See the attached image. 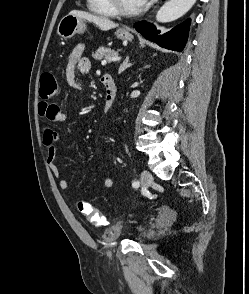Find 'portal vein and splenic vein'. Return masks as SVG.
I'll return each mask as SVG.
<instances>
[{"mask_svg":"<svg viewBox=\"0 0 249 294\" xmlns=\"http://www.w3.org/2000/svg\"><path fill=\"white\" fill-rule=\"evenodd\" d=\"M115 59H116L115 57H108V58H106L105 60H103V61L101 62V64L104 66V65L107 64V62L114 61Z\"/></svg>","mask_w":249,"mask_h":294,"instance_id":"obj_1","label":"portal vein and splenic vein"}]
</instances>
